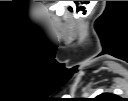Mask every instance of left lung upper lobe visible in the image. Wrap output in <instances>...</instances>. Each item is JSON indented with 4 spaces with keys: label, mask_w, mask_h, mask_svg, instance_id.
<instances>
[{
    "label": "left lung upper lobe",
    "mask_w": 128,
    "mask_h": 101,
    "mask_svg": "<svg viewBox=\"0 0 128 101\" xmlns=\"http://www.w3.org/2000/svg\"><path fill=\"white\" fill-rule=\"evenodd\" d=\"M115 97V95H112V94H109V93H105V94H102L101 96H99V98H97L98 100H101V99H104V98H107V99H113Z\"/></svg>",
    "instance_id": "left-lung-upper-lobe-1"
}]
</instances>
